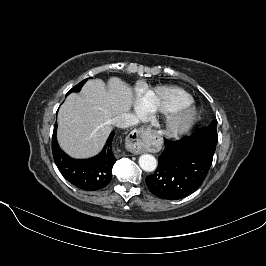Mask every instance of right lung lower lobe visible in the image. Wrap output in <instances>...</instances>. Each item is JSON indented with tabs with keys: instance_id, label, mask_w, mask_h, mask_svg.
I'll list each match as a JSON object with an SVG mask.
<instances>
[{
	"instance_id": "right-lung-lower-lobe-1",
	"label": "right lung lower lobe",
	"mask_w": 266,
	"mask_h": 266,
	"mask_svg": "<svg viewBox=\"0 0 266 266\" xmlns=\"http://www.w3.org/2000/svg\"><path fill=\"white\" fill-rule=\"evenodd\" d=\"M57 124L52 136V151L55 163L65 179L79 189L95 191L105 187L112 178V167L116 162L113 152V131L102 152L90 159L77 160L69 157L59 147L56 139Z\"/></svg>"
}]
</instances>
